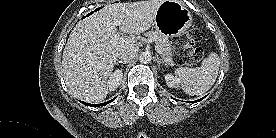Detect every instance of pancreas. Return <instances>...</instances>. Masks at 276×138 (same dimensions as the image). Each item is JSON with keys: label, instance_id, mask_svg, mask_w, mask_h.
I'll return each mask as SVG.
<instances>
[{"label": "pancreas", "instance_id": "obj_1", "mask_svg": "<svg viewBox=\"0 0 276 138\" xmlns=\"http://www.w3.org/2000/svg\"><path fill=\"white\" fill-rule=\"evenodd\" d=\"M147 37L153 39L160 49V55L168 65H174L172 60L171 44L167 36L160 34L157 31H151L146 34Z\"/></svg>", "mask_w": 276, "mask_h": 138}]
</instances>
